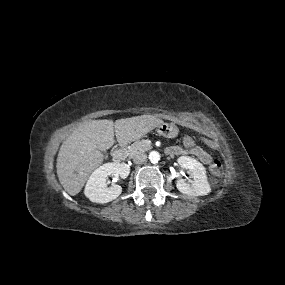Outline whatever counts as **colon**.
Wrapping results in <instances>:
<instances>
[{
    "instance_id": "obj_1",
    "label": "colon",
    "mask_w": 285,
    "mask_h": 285,
    "mask_svg": "<svg viewBox=\"0 0 285 285\" xmlns=\"http://www.w3.org/2000/svg\"><path fill=\"white\" fill-rule=\"evenodd\" d=\"M182 145L187 149H193L196 146V141L191 134H186L182 139ZM211 173L219 177L222 174V164L219 160H214L211 165Z\"/></svg>"
}]
</instances>
